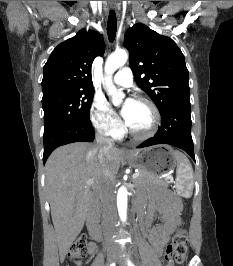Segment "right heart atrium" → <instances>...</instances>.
Returning <instances> with one entry per match:
<instances>
[{"label": "right heart atrium", "mask_w": 233, "mask_h": 266, "mask_svg": "<svg viewBox=\"0 0 233 266\" xmlns=\"http://www.w3.org/2000/svg\"><path fill=\"white\" fill-rule=\"evenodd\" d=\"M90 118L99 133L113 138L121 135L122 124L103 96L96 95L93 98Z\"/></svg>", "instance_id": "1"}]
</instances>
